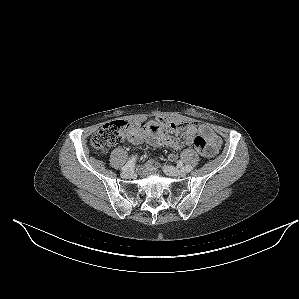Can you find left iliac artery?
<instances>
[{
	"instance_id": "left-iliac-artery-1",
	"label": "left iliac artery",
	"mask_w": 299,
	"mask_h": 299,
	"mask_svg": "<svg viewBox=\"0 0 299 299\" xmlns=\"http://www.w3.org/2000/svg\"><path fill=\"white\" fill-rule=\"evenodd\" d=\"M191 170H192V166L191 165H186L185 171L190 172Z\"/></svg>"
}]
</instances>
